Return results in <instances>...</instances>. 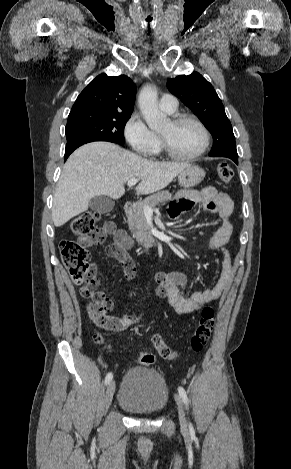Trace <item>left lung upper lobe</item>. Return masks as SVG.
<instances>
[{"mask_svg": "<svg viewBox=\"0 0 291 469\" xmlns=\"http://www.w3.org/2000/svg\"><path fill=\"white\" fill-rule=\"evenodd\" d=\"M167 87L194 111L212 134L214 145L210 156L221 154L238 156L231 123L211 83L198 72H193L190 75H179L169 79Z\"/></svg>", "mask_w": 291, "mask_h": 469, "instance_id": "obj_1", "label": "left lung upper lobe"}]
</instances>
